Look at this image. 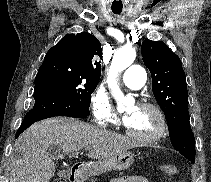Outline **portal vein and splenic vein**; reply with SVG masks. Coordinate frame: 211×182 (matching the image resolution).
I'll return each instance as SVG.
<instances>
[{"label":"portal vein and splenic vein","mask_w":211,"mask_h":182,"mask_svg":"<svg viewBox=\"0 0 211 182\" xmlns=\"http://www.w3.org/2000/svg\"><path fill=\"white\" fill-rule=\"evenodd\" d=\"M90 149H91V147H86V148H85L86 151H87V150H90Z\"/></svg>","instance_id":"18ae733b"}]
</instances>
